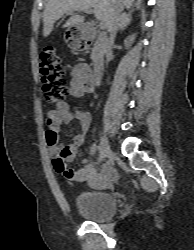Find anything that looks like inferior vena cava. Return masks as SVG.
<instances>
[{"instance_id":"inferior-vena-cava-1","label":"inferior vena cava","mask_w":194,"mask_h":250,"mask_svg":"<svg viewBox=\"0 0 194 250\" xmlns=\"http://www.w3.org/2000/svg\"><path fill=\"white\" fill-rule=\"evenodd\" d=\"M109 32H110L109 39L106 43V57H107V59L109 58V56L111 55V52H112V46L114 44L115 35H116V23L112 24V27L109 30Z\"/></svg>"}]
</instances>
